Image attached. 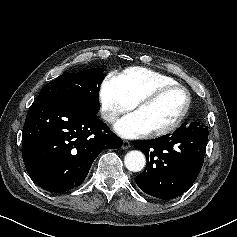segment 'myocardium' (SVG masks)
Wrapping results in <instances>:
<instances>
[{
  "instance_id": "obj_1",
  "label": "myocardium",
  "mask_w": 237,
  "mask_h": 237,
  "mask_svg": "<svg viewBox=\"0 0 237 237\" xmlns=\"http://www.w3.org/2000/svg\"><path fill=\"white\" fill-rule=\"evenodd\" d=\"M173 89H180L185 93L186 102H185V105H184L183 109L181 110V112L178 114V116L169 125H167L163 128H160V129L149 131L148 132L149 136L159 137V136L167 135V134L173 132L175 129H177L179 127V125L181 124V122L183 121V119L185 118L186 114L188 113V110H189L190 105H191V94L185 86H183L179 83L165 84V85H161V86L156 87L151 92H149L145 96L141 97L134 104L133 107H134L135 110H137V109L141 108L142 106L155 101L157 98H159L165 92L173 90Z\"/></svg>"
}]
</instances>
